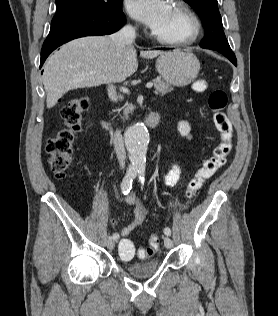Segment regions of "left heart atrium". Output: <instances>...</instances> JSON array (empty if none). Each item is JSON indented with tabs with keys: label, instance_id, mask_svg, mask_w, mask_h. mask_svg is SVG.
Segmentation results:
<instances>
[{
	"label": "left heart atrium",
	"instance_id": "39dd6f15",
	"mask_svg": "<svg viewBox=\"0 0 278 316\" xmlns=\"http://www.w3.org/2000/svg\"><path fill=\"white\" fill-rule=\"evenodd\" d=\"M171 5L166 0H129L127 11L154 32L166 19Z\"/></svg>",
	"mask_w": 278,
	"mask_h": 316
}]
</instances>
